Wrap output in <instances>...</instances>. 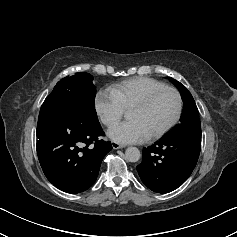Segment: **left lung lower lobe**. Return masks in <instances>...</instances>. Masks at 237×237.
I'll return each instance as SVG.
<instances>
[{"instance_id":"left-lung-lower-lobe-1","label":"left lung lower lobe","mask_w":237,"mask_h":237,"mask_svg":"<svg viewBox=\"0 0 237 237\" xmlns=\"http://www.w3.org/2000/svg\"><path fill=\"white\" fill-rule=\"evenodd\" d=\"M201 135L163 138L144 148L136 167L142 182L152 191L168 193L182 185L196 166Z\"/></svg>"}]
</instances>
